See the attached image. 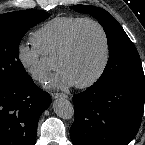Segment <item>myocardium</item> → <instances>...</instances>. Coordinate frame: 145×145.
Returning a JSON list of instances; mask_svg holds the SVG:
<instances>
[{"label":"myocardium","instance_id":"myocardium-1","mask_svg":"<svg viewBox=\"0 0 145 145\" xmlns=\"http://www.w3.org/2000/svg\"><path fill=\"white\" fill-rule=\"evenodd\" d=\"M83 24H92L99 29L103 38L105 53H104L103 62L100 68L98 69V71L95 73V75L89 80H87L86 82L74 84L75 87L79 89H86L95 85L106 72L110 59H111V45H110V40H109L107 30L105 29V27L99 21L93 18H82L73 26V28L69 32L62 49L59 51V53L56 55L54 59L55 62L69 55V53L73 49L77 31L80 28V26H82Z\"/></svg>","mask_w":145,"mask_h":145}]
</instances>
